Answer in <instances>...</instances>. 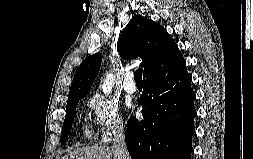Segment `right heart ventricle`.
<instances>
[{"label":"right heart ventricle","mask_w":253,"mask_h":159,"mask_svg":"<svg viewBox=\"0 0 253 159\" xmlns=\"http://www.w3.org/2000/svg\"><path fill=\"white\" fill-rule=\"evenodd\" d=\"M89 132H90V131L88 130V128H85V133H86V134H89Z\"/></svg>","instance_id":"right-heart-ventricle-1"}]
</instances>
